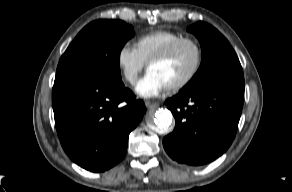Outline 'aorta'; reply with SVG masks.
Here are the masks:
<instances>
[{"mask_svg":"<svg viewBox=\"0 0 292 192\" xmlns=\"http://www.w3.org/2000/svg\"><path fill=\"white\" fill-rule=\"evenodd\" d=\"M173 116L169 110L159 109L155 113L154 123L159 132H166L172 123Z\"/></svg>","mask_w":292,"mask_h":192,"instance_id":"762f6f07","label":"aorta"}]
</instances>
